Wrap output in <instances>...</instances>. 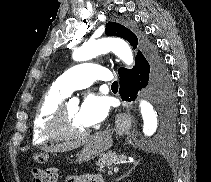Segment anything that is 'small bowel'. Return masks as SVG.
Listing matches in <instances>:
<instances>
[{
    "label": "small bowel",
    "instance_id": "c3829d8e",
    "mask_svg": "<svg viewBox=\"0 0 211 182\" xmlns=\"http://www.w3.org/2000/svg\"><path fill=\"white\" fill-rule=\"evenodd\" d=\"M32 182H34L33 179ZM66 182H104V179L101 175L69 176Z\"/></svg>",
    "mask_w": 211,
    "mask_h": 182
}]
</instances>
